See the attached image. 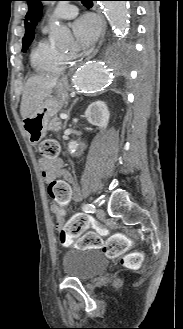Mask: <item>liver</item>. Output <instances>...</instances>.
Returning a JSON list of instances; mask_svg holds the SVG:
<instances>
[{
  "label": "liver",
  "mask_w": 183,
  "mask_h": 329,
  "mask_svg": "<svg viewBox=\"0 0 183 329\" xmlns=\"http://www.w3.org/2000/svg\"><path fill=\"white\" fill-rule=\"evenodd\" d=\"M57 81V77L48 75H35L27 80L20 106L23 119L31 115L40 103L50 95Z\"/></svg>",
  "instance_id": "1"
}]
</instances>
